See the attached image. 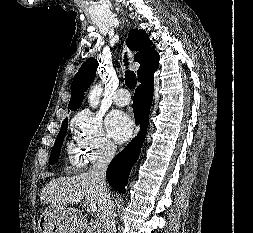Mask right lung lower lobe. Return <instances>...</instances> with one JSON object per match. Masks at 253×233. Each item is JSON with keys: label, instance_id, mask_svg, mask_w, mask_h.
<instances>
[{"label": "right lung lower lobe", "instance_id": "1", "mask_svg": "<svg viewBox=\"0 0 253 233\" xmlns=\"http://www.w3.org/2000/svg\"><path fill=\"white\" fill-rule=\"evenodd\" d=\"M154 71L139 79L140 85L137 87L133 99L135 121L136 124H141V130L138 136L113 158L106 172L109 184L122 194L125 193L129 173L139 157L145 140L147 120L153 97Z\"/></svg>", "mask_w": 253, "mask_h": 233}]
</instances>
